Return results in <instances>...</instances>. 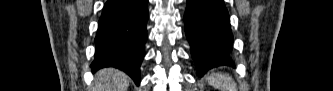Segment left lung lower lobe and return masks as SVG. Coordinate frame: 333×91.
<instances>
[{
	"label": "left lung lower lobe",
	"mask_w": 333,
	"mask_h": 91,
	"mask_svg": "<svg viewBox=\"0 0 333 91\" xmlns=\"http://www.w3.org/2000/svg\"><path fill=\"white\" fill-rule=\"evenodd\" d=\"M184 22L199 76L214 67L234 66L230 17L223 0H187Z\"/></svg>",
	"instance_id": "0a47b994"
}]
</instances>
